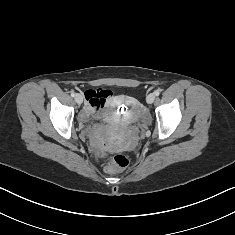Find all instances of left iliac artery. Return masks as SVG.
I'll return each instance as SVG.
<instances>
[{
    "label": "left iliac artery",
    "mask_w": 235,
    "mask_h": 235,
    "mask_svg": "<svg viewBox=\"0 0 235 235\" xmlns=\"http://www.w3.org/2000/svg\"><path fill=\"white\" fill-rule=\"evenodd\" d=\"M154 93H155V96H159L160 91H159V90H156Z\"/></svg>",
    "instance_id": "44dca946"
}]
</instances>
